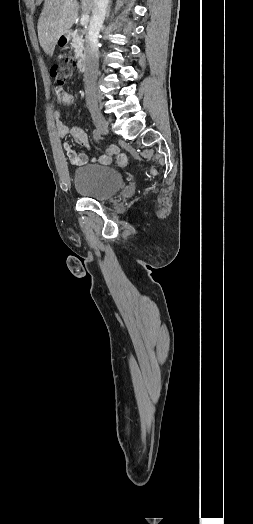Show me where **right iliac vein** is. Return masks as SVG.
Listing matches in <instances>:
<instances>
[{"mask_svg": "<svg viewBox=\"0 0 253 524\" xmlns=\"http://www.w3.org/2000/svg\"><path fill=\"white\" fill-rule=\"evenodd\" d=\"M91 116L93 119V122L97 128V130L101 134H108V122L106 121L105 117L102 115V113L97 109L91 110Z\"/></svg>", "mask_w": 253, "mask_h": 524, "instance_id": "obj_1", "label": "right iliac vein"}]
</instances>
